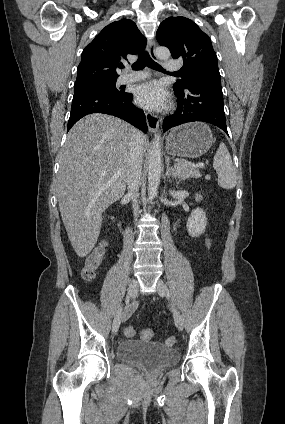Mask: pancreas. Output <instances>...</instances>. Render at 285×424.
I'll use <instances>...</instances> for the list:
<instances>
[{"label":"pancreas","mask_w":285,"mask_h":424,"mask_svg":"<svg viewBox=\"0 0 285 424\" xmlns=\"http://www.w3.org/2000/svg\"><path fill=\"white\" fill-rule=\"evenodd\" d=\"M174 177L179 179L199 178L201 173L191 163L180 162L174 168Z\"/></svg>","instance_id":"pancreas-1"}]
</instances>
